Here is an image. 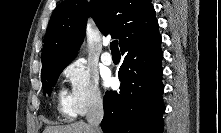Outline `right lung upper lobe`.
Masks as SVG:
<instances>
[{"mask_svg": "<svg viewBox=\"0 0 221 133\" xmlns=\"http://www.w3.org/2000/svg\"><path fill=\"white\" fill-rule=\"evenodd\" d=\"M99 30L119 39L120 48L136 38L159 33L151 0H66L51 16L42 52V68L71 62L85 36L87 17Z\"/></svg>", "mask_w": 221, "mask_h": 133, "instance_id": "right-lung-upper-lobe-1", "label": "right lung upper lobe"}]
</instances>
